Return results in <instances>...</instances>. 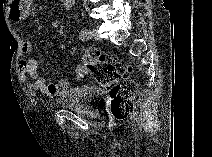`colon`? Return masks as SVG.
Here are the masks:
<instances>
[{
  "label": "colon",
  "instance_id": "colon-1",
  "mask_svg": "<svg viewBox=\"0 0 212 157\" xmlns=\"http://www.w3.org/2000/svg\"><path fill=\"white\" fill-rule=\"evenodd\" d=\"M76 75L79 79L90 75L100 86L109 91L111 114L122 120L130 116L133 110V96L137 85L125 78L131 69L98 48L85 50L79 58Z\"/></svg>",
  "mask_w": 212,
  "mask_h": 157
}]
</instances>
